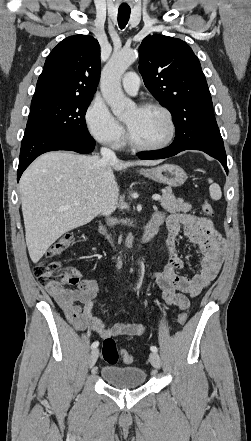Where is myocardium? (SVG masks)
Segmentation results:
<instances>
[{
  "instance_id": "f54148a6",
  "label": "myocardium",
  "mask_w": 251,
  "mask_h": 441,
  "mask_svg": "<svg viewBox=\"0 0 251 441\" xmlns=\"http://www.w3.org/2000/svg\"><path fill=\"white\" fill-rule=\"evenodd\" d=\"M137 108H139V109H157V110L161 111L166 116L167 121L169 123V128H170L169 134H168L167 138L159 144H154V145L142 144L134 138L130 129L126 125L125 134H126L127 142L133 148H135L137 150H141V151H157V150H161V149L168 147L173 142V140L176 136V130H177L176 123H175L172 112L167 107H165L164 105L157 103V102H144V103L139 104L137 106Z\"/></svg>"
}]
</instances>
